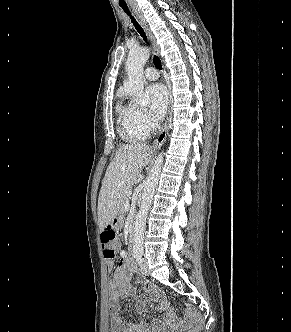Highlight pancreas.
<instances>
[{
    "mask_svg": "<svg viewBox=\"0 0 291 332\" xmlns=\"http://www.w3.org/2000/svg\"><path fill=\"white\" fill-rule=\"evenodd\" d=\"M130 190H128V191H126L124 194H123V196H122V198H121V200H120V208H119V210H120V212H125L126 211V208H125V204L127 203V201H129V199H130Z\"/></svg>",
    "mask_w": 291,
    "mask_h": 332,
    "instance_id": "obj_1",
    "label": "pancreas"
}]
</instances>
